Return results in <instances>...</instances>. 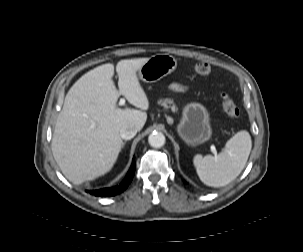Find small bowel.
I'll return each instance as SVG.
<instances>
[{
	"instance_id": "1",
	"label": "small bowel",
	"mask_w": 303,
	"mask_h": 252,
	"mask_svg": "<svg viewBox=\"0 0 303 252\" xmlns=\"http://www.w3.org/2000/svg\"><path fill=\"white\" fill-rule=\"evenodd\" d=\"M170 89L175 93H186L189 90V87L181 83H172Z\"/></svg>"
}]
</instances>
